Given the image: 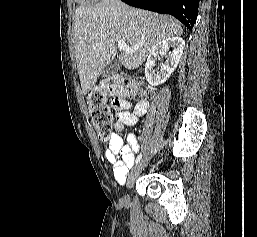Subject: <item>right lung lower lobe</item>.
<instances>
[{
  "instance_id": "1",
  "label": "right lung lower lobe",
  "mask_w": 257,
  "mask_h": 237,
  "mask_svg": "<svg viewBox=\"0 0 257 237\" xmlns=\"http://www.w3.org/2000/svg\"><path fill=\"white\" fill-rule=\"evenodd\" d=\"M130 6L170 14L181 21L190 31L197 18L200 0H121Z\"/></svg>"
}]
</instances>
